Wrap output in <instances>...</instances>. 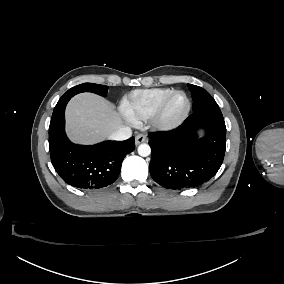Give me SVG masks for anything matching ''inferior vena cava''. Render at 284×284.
Returning a JSON list of instances; mask_svg holds the SVG:
<instances>
[{
  "label": "inferior vena cava",
  "mask_w": 284,
  "mask_h": 284,
  "mask_svg": "<svg viewBox=\"0 0 284 284\" xmlns=\"http://www.w3.org/2000/svg\"><path fill=\"white\" fill-rule=\"evenodd\" d=\"M131 136H132L131 128L127 126H123V127L118 128L116 131L112 132L109 135V139L122 141V140H126L130 138Z\"/></svg>",
  "instance_id": "obj_1"
}]
</instances>
